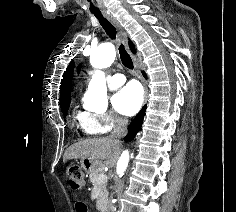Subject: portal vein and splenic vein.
Masks as SVG:
<instances>
[{
  "mask_svg": "<svg viewBox=\"0 0 236 212\" xmlns=\"http://www.w3.org/2000/svg\"><path fill=\"white\" fill-rule=\"evenodd\" d=\"M98 180H99V181H106V180H107V176H106V175H100V176L98 177Z\"/></svg>",
  "mask_w": 236,
  "mask_h": 212,
  "instance_id": "obj_1",
  "label": "portal vein and splenic vein"
}]
</instances>
